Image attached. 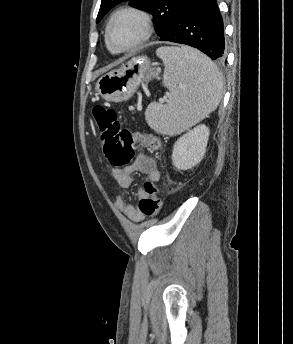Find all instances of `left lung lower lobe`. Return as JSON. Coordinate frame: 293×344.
I'll return each instance as SVG.
<instances>
[{"label":"left lung lower lobe","mask_w":293,"mask_h":344,"mask_svg":"<svg viewBox=\"0 0 293 344\" xmlns=\"http://www.w3.org/2000/svg\"><path fill=\"white\" fill-rule=\"evenodd\" d=\"M160 40L186 44L213 60H223V20L216 0H187L174 25Z\"/></svg>","instance_id":"left-lung-lower-lobe-1"}]
</instances>
